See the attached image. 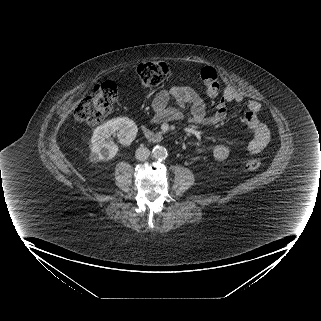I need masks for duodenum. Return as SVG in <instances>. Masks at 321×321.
<instances>
[{
    "label": "duodenum",
    "instance_id": "410a0bca",
    "mask_svg": "<svg viewBox=\"0 0 321 321\" xmlns=\"http://www.w3.org/2000/svg\"><path fill=\"white\" fill-rule=\"evenodd\" d=\"M142 130L145 137L151 142H160L163 139L162 135L157 131H154L147 127H143Z\"/></svg>",
    "mask_w": 321,
    "mask_h": 321
}]
</instances>
